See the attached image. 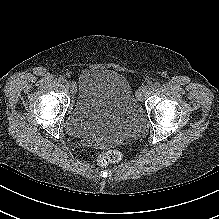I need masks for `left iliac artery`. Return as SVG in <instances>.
I'll list each match as a JSON object with an SVG mask.
<instances>
[{
  "label": "left iliac artery",
  "mask_w": 219,
  "mask_h": 219,
  "mask_svg": "<svg viewBox=\"0 0 219 219\" xmlns=\"http://www.w3.org/2000/svg\"><path fill=\"white\" fill-rule=\"evenodd\" d=\"M160 87V83L159 82H155L153 84V89H158Z\"/></svg>",
  "instance_id": "obj_1"
}]
</instances>
